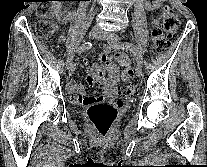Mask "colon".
I'll return each mask as SVG.
<instances>
[{
	"label": "colon",
	"instance_id": "colon-1",
	"mask_svg": "<svg viewBox=\"0 0 207 167\" xmlns=\"http://www.w3.org/2000/svg\"><path fill=\"white\" fill-rule=\"evenodd\" d=\"M163 24L152 30L151 41L153 48L158 52H163L170 44V38H174L179 30L180 21L178 16L169 6L163 8ZM36 30L44 35H52L57 27L52 19L51 9L48 6H41L37 10ZM163 33H166L165 36ZM123 59V57H122ZM122 97L131 98L137 92V87L133 82H124L119 87ZM116 117V110L108 104H95L89 110V119L101 136H105L109 131Z\"/></svg>",
	"mask_w": 207,
	"mask_h": 167
}]
</instances>
